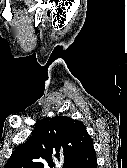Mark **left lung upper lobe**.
<instances>
[{
    "mask_svg": "<svg viewBox=\"0 0 127 168\" xmlns=\"http://www.w3.org/2000/svg\"><path fill=\"white\" fill-rule=\"evenodd\" d=\"M88 137L81 121L66 116L44 118L36 122L31 137L11 154L4 168H53L61 152L63 168H73Z\"/></svg>",
    "mask_w": 127,
    "mask_h": 168,
    "instance_id": "obj_1",
    "label": "left lung upper lobe"
}]
</instances>
